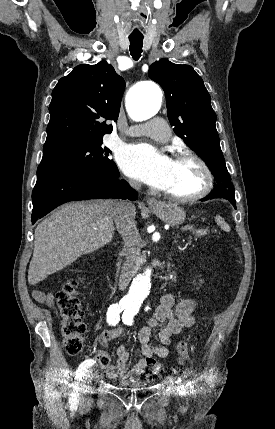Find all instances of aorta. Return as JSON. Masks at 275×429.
Listing matches in <instances>:
<instances>
[{"instance_id": "aorta-1", "label": "aorta", "mask_w": 275, "mask_h": 429, "mask_svg": "<svg viewBox=\"0 0 275 429\" xmlns=\"http://www.w3.org/2000/svg\"><path fill=\"white\" fill-rule=\"evenodd\" d=\"M163 94L158 85L144 82L131 89L127 97V110L132 119L146 120L156 115L162 104ZM150 270L139 274L132 282L126 301L139 304L150 292Z\"/></svg>"}]
</instances>
